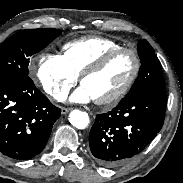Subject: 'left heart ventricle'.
I'll return each mask as SVG.
<instances>
[{
	"instance_id": "1",
	"label": "left heart ventricle",
	"mask_w": 183,
	"mask_h": 183,
	"mask_svg": "<svg viewBox=\"0 0 183 183\" xmlns=\"http://www.w3.org/2000/svg\"><path fill=\"white\" fill-rule=\"evenodd\" d=\"M134 68L129 53H120L101 71L84 79L82 85L94 99L106 98L120 90L128 81Z\"/></svg>"
}]
</instances>
